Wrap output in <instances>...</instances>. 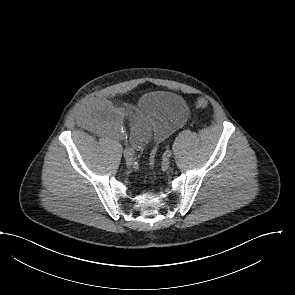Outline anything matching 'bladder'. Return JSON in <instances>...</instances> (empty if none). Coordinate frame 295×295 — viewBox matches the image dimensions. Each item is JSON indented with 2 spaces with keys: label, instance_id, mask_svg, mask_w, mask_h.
Here are the masks:
<instances>
[{
  "label": "bladder",
  "instance_id": "1",
  "mask_svg": "<svg viewBox=\"0 0 295 295\" xmlns=\"http://www.w3.org/2000/svg\"><path fill=\"white\" fill-rule=\"evenodd\" d=\"M137 111L143 114L153 136L158 139L179 128L188 117L185 100L170 91H152L145 94L140 99Z\"/></svg>",
  "mask_w": 295,
  "mask_h": 295
}]
</instances>
